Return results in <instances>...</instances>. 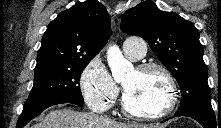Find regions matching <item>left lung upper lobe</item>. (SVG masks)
I'll return each mask as SVG.
<instances>
[{
    "label": "left lung upper lobe",
    "mask_w": 221,
    "mask_h": 128,
    "mask_svg": "<svg viewBox=\"0 0 221 128\" xmlns=\"http://www.w3.org/2000/svg\"><path fill=\"white\" fill-rule=\"evenodd\" d=\"M121 30L144 38L178 81L182 100L176 113L213 110L203 47L192 22L176 13L160 11L153 2L145 1L124 13Z\"/></svg>",
    "instance_id": "1"
}]
</instances>
